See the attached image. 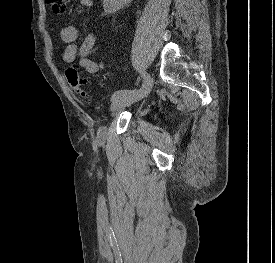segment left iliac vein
<instances>
[{"label":"left iliac vein","mask_w":275,"mask_h":263,"mask_svg":"<svg viewBox=\"0 0 275 263\" xmlns=\"http://www.w3.org/2000/svg\"><path fill=\"white\" fill-rule=\"evenodd\" d=\"M153 78H150V81L148 82V84L141 90L134 92V93H129L123 96H120L116 99L113 100L112 104H111V111L115 112L118 111L126 106H129L141 99H143L144 97H146L150 91L152 90L153 87ZM106 127H100L98 132H97V141L98 143H104L105 139H106Z\"/></svg>","instance_id":"4c4485c4"}]
</instances>
